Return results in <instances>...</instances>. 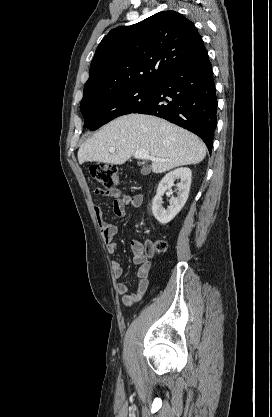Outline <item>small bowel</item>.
<instances>
[{"label": "small bowel", "mask_w": 272, "mask_h": 417, "mask_svg": "<svg viewBox=\"0 0 272 417\" xmlns=\"http://www.w3.org/2000/svg\"><path fill=\"white\" fill-rule=\"evenodd\" d=\"M93 193L97 196L114 198L113 210L117 217H123L125 215L126 207L138 208L143 202V196L141 194L128 195L122 193L115 187L105 189L97 187L94 189ZM94 213L107 251L109 254L113 255L118 250V245L114 241V237L118 233L119 228L117 225L110 224L104 219L102 209L99 206H94ZM131 249L133 262L134 264L139 265L137 273L138 282L133 289L122 282H118L115 285V290L120 295L121 302L126 306L138 302L146 293L151 272L150 258L154 252L150 242L143 244L138 240L132 241ZM112 272L116 279H121L124 275V270L117 261L112 262Z\"/></svg>", "instance_id": "c3829d8e"}]
</instances>
